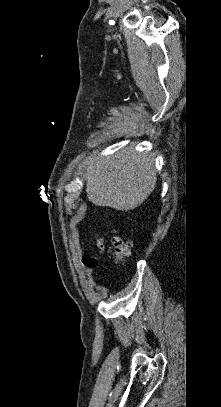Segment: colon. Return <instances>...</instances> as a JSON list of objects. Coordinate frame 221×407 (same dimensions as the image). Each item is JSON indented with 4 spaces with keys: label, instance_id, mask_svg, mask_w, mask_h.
Returning a JSON list of instances; mask_svg holds the SVG:
<instances>
[{
    "label": "colon",
    "instance_id": "5ec220e1",
    "mask_svg": "<svg viewBox=\"0 0 221 407\" xmlns=\"http://www.w3.org/2000/svg\"><path fill=\"white\" fill-rule=\"evenodd\" d=\"M115 254L118 258H123L129 254L130 245L120 237L113 238Z\"/></svg>",
    "mask_w": 221,
    "mask_h": 407
}]
</instances>
